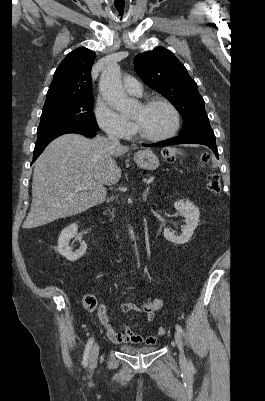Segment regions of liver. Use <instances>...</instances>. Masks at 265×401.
I'll return each instance as SVG.
<instances>
[{
	"instance_id": "obj_1",
	"label": "liver",
	"mask_w": 265,
	"mask_h": 401,
	"mask_svg": "<svg viewBox=\"0 0 265 401\" xmlns=\"http://www.w3.org/2000/svg\"><path fill=\"white\" fill-rule=\"evenodd\" d=\"M127 150L129 146L105 136L90 140L82 134H63L52 140L34 164L33 198L23 229L79 215L103 203V184H116L121 176L113 156ZM74 184L88 186V190H75Z\"/></svg>"
}]
</instances>
